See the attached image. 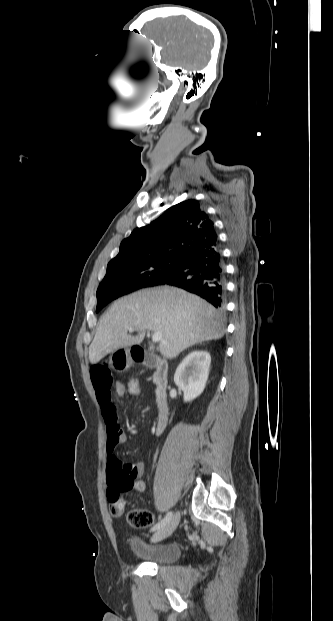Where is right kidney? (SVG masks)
Masks as SVG:
<instances>
[{"mask_svg": "<svg viewBox=\"0 0 333 621\" xmlns=\"http://www.w3.org/2000/svg\"><path fill=\"white\" fill-rule=\"evenodd\" d=\"M211 363L210 354L194 350L179 364L174 375L175 384L183 390L184 401H192L205 389Z\"/></svg>", "mask_w": 333, "mask_h": 621, "instance_id": "obj_1", "label": "right kidney"}]
</instances>
